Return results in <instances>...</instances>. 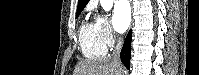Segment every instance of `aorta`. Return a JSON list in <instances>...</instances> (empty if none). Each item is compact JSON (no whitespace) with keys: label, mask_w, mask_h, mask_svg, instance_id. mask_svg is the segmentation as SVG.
I'll use <instances>...</instances> for the list:
<instances>
[{"label":"aorta","mask_w":199,"mask_h":75,"mask_svg":"<svg viewBox=\"0 0 199 75\" xmlns=\"http://www.w3.org/2000/svg\"><path fill=\"white\" fill-rule=\"evenodd\" d=\"M114 0H100V4L105 11L111 10Z\"/></svg>","instance_id":"1"}]
</instances>
